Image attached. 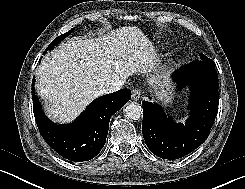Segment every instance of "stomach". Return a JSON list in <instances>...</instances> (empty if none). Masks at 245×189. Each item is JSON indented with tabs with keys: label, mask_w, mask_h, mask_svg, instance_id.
Segmentation results:
<instances>
[{
	"label": "stomach",
	"mask_w": 245,
	"mask_h": 189,
	"mask_svg": "<svg viewBox=\"0 0 245 189\" xmlns=\"http://www.w3.org/2000/svg\"><path fill=\"white\" fill-rule=\"evenodd\" d=\"M156 100L164 106H170L174 99V87L172 84L165 82L162 77L158 78L156 84L151 85Z\"/></svg>",
	"instance_id": "stomach-1"
}]
</instances>
